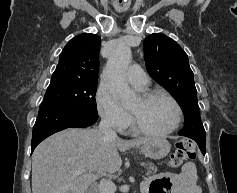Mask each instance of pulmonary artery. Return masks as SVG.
Listing matches in <instances>:
<instances>
[{
	"mask_svg": "<svg viewBox=\"0 0 237 193\" xmlns=\"http://www.w3.org/2000/svg\"><path fill=\"white\" fill-rule=\"evenodd\" d=\"M127 79L133 87L144 90L148 87L149 81L145 72L139 66H132L127 72Z\"/></svg>",
	"mask_w": 237,
	"mask_h": 193,
	"instance_id": "e3ab8cb5",
	"label": "pulmonary artery"
}]
</instances>
